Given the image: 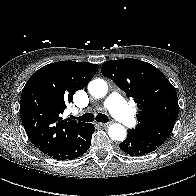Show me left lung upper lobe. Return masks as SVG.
Masks as SVG:
<instances>
[{
	"instance_id": "1",
	"label": "left lung upper lobe",
	"mask_w": 196,
	"mask_h": 196,
	"mask_svg": "<svg viewBox=\"0 0 196 196\" xmlns=\"http://www.w3.org/2000/svg\"><path fill=\"white\" fill-rule=\"evenodd\" d=\"M101 72L138 103L139 124L128 133L156 147L162 145L179 111L176 91L165 75L153 65L131 58L104 62Z\"/></svg>"
}]
</instances>
